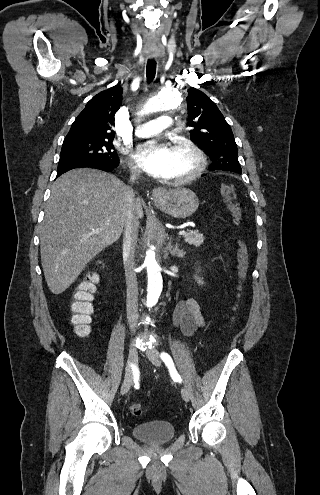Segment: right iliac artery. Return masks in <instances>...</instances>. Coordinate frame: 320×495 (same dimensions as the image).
Here are the masks:
<instances>
[{
	"label": "right iliac artery",
	"mask_w": 320,
	"mask_h": 495,
	"mask_svg": "<svg viewBox=\"0 0 320 495\" xmlns=\"http://www.w3.org/2000/svg\"><path fill=\"white\" fill-rule=\"evenodd\" d=\"M132 369H133V372H134L135 380H137V378H138V370L133 365H132Z\"/></svg>",
	"instance_id": "82829eb1"
}]
</instances>
